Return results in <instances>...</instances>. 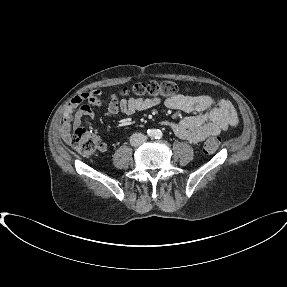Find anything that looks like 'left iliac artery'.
Here are the masks:
<instances>
[{
	"label": "left iliac artery",
	"mask_w": 287,
	"mask_h": 287,
	"mask_svg": "<svg viewBox=\"0 0 287 287\" xmlns=\"http://www.w3.org/2000/svg\"><path fill=\"white\" fill-rule=\"evenodd\" d=\"M162 136H163L162 132L160 130H158L155 138L160 139V138H162Z\"/></svg>",
	"instance_id": "1"
}]
</instances>
